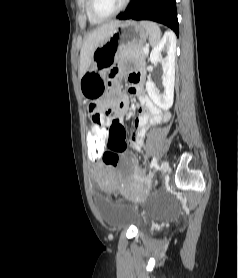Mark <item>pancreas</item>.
Wrapping results in <instances>:
<instances>
[{
  "label": "pancreas",
  "instance_id": "obj_1",
  "mask_svg": "<svg viewBox=\"0 0 238 278\" xmlns=\"http://www.w3.org/2000/svg\"><path fill=\"white\" fill-rule=\"evenodd\" d=\"M143 45H128L119 52V57H134L137 59H145L147 54L143 51Z\"/></svg>",
  "mask_w": 238,
  "mask_h": 278
}]
</instances>
